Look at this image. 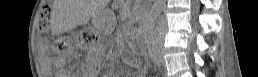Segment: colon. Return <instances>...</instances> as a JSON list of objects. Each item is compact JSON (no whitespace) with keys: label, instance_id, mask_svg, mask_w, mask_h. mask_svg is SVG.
Wrapping results in <instances>:
<instances>
[{"label":"colon","instance_id":"5ec220e1","mask_svg":"<svg viewBox=\"0 0 258 77\" xmlns=\"http://www.w3.org/2000/svg\"><path fill=\"white\" fill-rule=\"evenodd\" d=\"M50 26V12L48 9H43L39 18V30L45 32ZM93 39V35L88 31H82L79 35V42L81 44H90Z\"/></svg>","mask_w":258,"mask_h":77}]
</instances>
